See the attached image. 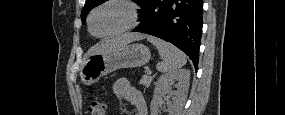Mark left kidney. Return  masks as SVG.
<instances>
[{
  "mask_svg": "<svg viewBox=\"0 0 285 115\" xmlns=\"http://www.w3.org/2000/svg\"><path fill=\"white\" fill-rule=\"evenodd\" d=\"M175 84L177 90H172V84ZM190 82V71L187 69L174 70L160 76L156 82L153 99L150 105L151 115L159 114V107L161 106V97L163 95H171L172 102L167 104L169 115H179L187 98Z\"/></svg>",
  "mask_w": 285,
  "mask_h": 115,
  "instance_id": "1",
  "label": "left kidney"
}]
</instances>
